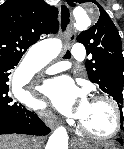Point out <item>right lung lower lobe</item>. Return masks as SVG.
I'll return each mask as SVG.
<instances>
[{
    "instance_id": "98d812e1",
    "label": "right lung lower lobe",
    "mask_w": 124,
    "mask_h": 149,
    "mask_svg": "<svg viewBox=\"0 0 124 149\" xmlns=\"http://www.w3.org/2000/svg\"><path fill=\"white\" fill-rule=\"evenodd\" d=\"M17 62L0 63V135L29 134L47 135L50 129L39 116L20 103L14 102L9 94V75Z\"/></svg>"
}]
</instances>
